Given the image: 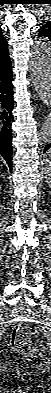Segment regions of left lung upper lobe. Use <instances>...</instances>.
Segmentation results:
<instances>
[{"label":"left lung upper lobe","mask_w":51,"mask_h":393,"mask_svg":"<svg viewBox=\"0 0 51 393\" xmlns=\"http://www.w3.org/2000/svg\"><path fill=\"white\" fill-rule=\"evenodd\" d=\"M39 37H45L48 38L51 41V21L45 23L40 29H39Z\"/></svg>","instance_id":"5c2ea615"}]
</instances>
